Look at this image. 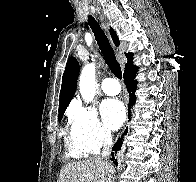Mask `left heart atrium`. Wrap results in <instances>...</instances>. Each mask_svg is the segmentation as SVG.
<instances>
[{"instance_id":"39dd6f15","label":"left heart atrium","mask_w":196,"mask_h":182,"mask_svg":"<svg viewBox=\"0 0 196 182\" xmlns=\"http://www.w3.org/2000/svg\"><path fill=\"white\" fill-rule=\"evenodd\" d=\"M101 115L108 128L118 129L125 120V108L118 99H106L100 107Z\"/></svg>"}]
</instances>
